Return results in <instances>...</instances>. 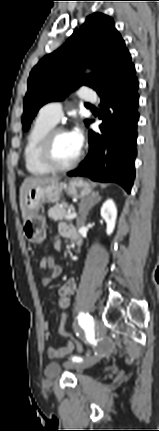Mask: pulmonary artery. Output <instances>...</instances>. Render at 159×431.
<instances>
[{
    "label": "pulmonary artery",
    "instance_id": "1",
    "mask_svg": "<svg viewBox=\"0 0 159 431\" xmlns=\"http://www.w3.org/2000/svg\"><path fill=\"white\" fill-rule=\"evenodd\" d=\"M79 96L81 99L88 102H94L97 99L95 92L88 87H82L79 90ZM62 108V103L60 101L50 102L41 108L40 115L56 124L63 116Z\"/></svg>",
    "mask_w": 159,
    "mask_h": 431
}]
</instances>
